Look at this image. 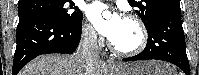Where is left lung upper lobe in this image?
<instances>
[{
  "mask_svg": "<svg viewBox=\"0 0 199 75\" xmlns=\"http://www.w3.org/2000/svg\"><path fill=\"white\" fill-rule=\"evenodd\" d=\"M128 2L136 9L146 28L151 26L162 11L171 8L180 9V0H128Z\"/></svg>",
  "mask_w": 199,
  "mask_h": 75,
  "instance_id": "1",
  "label": "left lung upper lobe"
}]
</instances>
